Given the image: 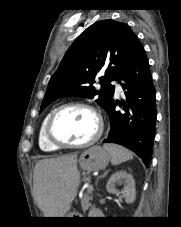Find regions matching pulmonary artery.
Instances as JSON below:
<instances>
[{
	"mask_svg": "<svg viewBox=\"0 0 181 227\" xmlns=\"http://www.w3.org/2000/svg\"><path fill=\"white\" fill-rule=\"evenodd\" d=\"M122 93V88L120 85H116V94L119 95Z\"/></svg>",
	"mask_w": 181,
	"mask_h": 227,
	"instance_id": "obj_1",
	"label": "pulmonary artery"
}]
</instances>
